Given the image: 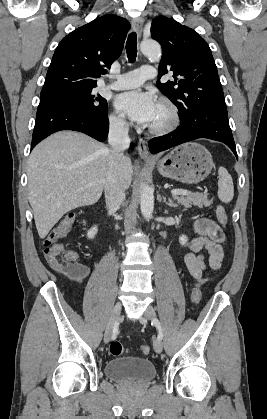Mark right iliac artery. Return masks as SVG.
I'll return each instance as SVG.
<instances>
[{
  "instance_id": "82829eb1",
  "label": "right iliac artery",
  "mask_w": 267,
  "mask_h": 419,
  "mask_svg": "<svg viewBox=\"0 0 267 419\" xmlns=\"http://www.w3.org/2000/svg\"><path fill=\"white\" fill-rule=\"evenodd\" d=\"M118 323L115 324L114 328H113V333H112V339H115L118 335Z\"/></svg>"
}]
</instances>
